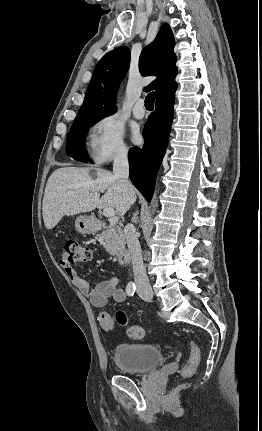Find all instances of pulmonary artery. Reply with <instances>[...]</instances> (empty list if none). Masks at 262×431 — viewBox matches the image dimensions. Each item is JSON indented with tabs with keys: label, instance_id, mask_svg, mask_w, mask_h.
<instances>
[{
	"label": "pulmonary artery",
	"instance_id": "e3ab8cb5",
	"mask_svg": "<svg viewBox=\"0 0 262 431\" xmlns=\"http://www.w3.org/2000/svg\"><path fill=\"white\" fill-rule=\"evenodd\" d=\"M143 99H138L133 107V115L137 119H142L145 117V110L143 109Z\"/></svg>",
	"mask_w": 262,
	"mask_h": 431
}]
</instances>
